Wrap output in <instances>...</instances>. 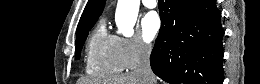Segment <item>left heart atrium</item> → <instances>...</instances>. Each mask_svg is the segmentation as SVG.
Here are the masks:
<instances>
[{
    "label": "left heart atrium",
    "mask_w": 260,
    "mask_h": 84,
    "mask_svg": "<svg viewBox=\"0 0 260 84\" xmlns=\"http://www.w3.org/2000/svg\"><path fill=\"white\" fill-rule=\"evenodd\" d=\"M160 29V19L156 12H149L142 20V32L147 40H152Z\"/></svg>",
    "instance_id": "left-heart-atrium-1"
}]
</instances>
